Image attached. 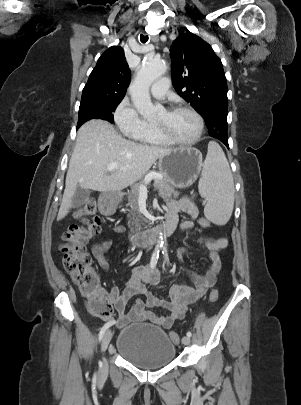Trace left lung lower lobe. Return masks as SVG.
Segmentation results:
<instances>
[{
	"instance_id": "left-lung-lower-lobe-1",
	"label": "left lung lower lobe",
	"mask_w": 301,
	"mask_h": 405,
	"mask_svg": "<svg viewBox=\"0 0 301 405\" xmlns=\"http://www.w3.org/2000/svg\"><path fill=\"white\" fill-rule=\"evenodd\" d=\"M217 139L222 141L229 148V146H228V137L227 136H220L219 135V138H217Z\"/></svg>"
}]
</instances>
